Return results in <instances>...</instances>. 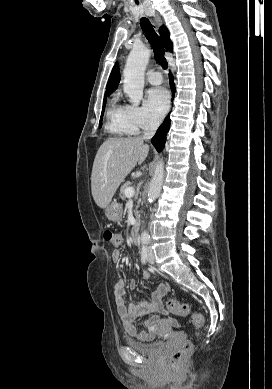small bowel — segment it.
I'll return each instance as SVG.
<instances>
[{
  "label": "small bowel",
  "mask_w": 272,
  "mask_h": 389,
  "mask_svg": "<svg viewBox=\"0 0 272 389\" xmlns=\"http://www.w3.org/2000/svg\"><path fill=\"white\" fill-rule=\"evenodd\" d=\"M121 252L118 250L113 251L112 260L114 262H119L121 259ZM144 278H151L150 273L145 272L143 274ZM129 287L131 290L135 291L137 289V283L135 280L130 281ZM170 286L167 283H161L155 292L152 295L151 300L144 298H138L132 304H126L125 302V282L123 280H118L114 285V296L116 302V308L118 315L121 319L123 328L125 332L132 338L139 341H150L155 337V330L157 328L158 316H152L146 320L145 324L148 328L147 331H138L134 322L151 313H165V309L162 304L163 298L168 294ZM170 324H176V321L169 319Z\"/></svg>",
  "instance_id": "obj_1"
}]
</instances>
